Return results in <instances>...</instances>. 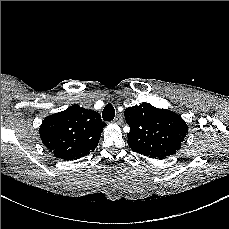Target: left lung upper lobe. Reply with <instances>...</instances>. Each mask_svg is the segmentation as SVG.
<instances>
[{
	"label": "left lung upper lobe",
	"mask_w": 229,
	"mask_h": 229,
	"mask_svg": "<svg viewBox=\"0 0 229 229\" xmlns=\"http://www.w3.org/2000/svg\"><path fill=\"white\" fill-rule=\"evenodd\" d=\"M130 126L128 144L132 150L154 159L175 154L188 133V126L178 114L158 109L149 103L126 108Z\"/></svg>",
	"instance_id": "5c2ea615"
}]
</instances>
